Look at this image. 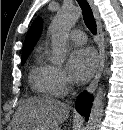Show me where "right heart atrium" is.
I'll return each mask as SVG.
<instances>
[{
  "label": "right heart atrium",
  "instance_id": "right-heart-atrium-1",
  "mask_svg": "<svg viewBox=\"0 0 123 130\" xmlns=\"http://www.w3.org/2000/svg\"><path fill=\"white\" fill-rule=\"evenodd\" d=\"M54 85L56 96L66 95L72 88V82L65 71L54 67Z\"/></svg>",
  "mask_w": 123,
  "mask_h": 130
}]
</instances>
